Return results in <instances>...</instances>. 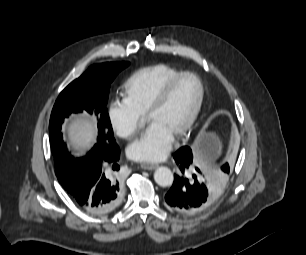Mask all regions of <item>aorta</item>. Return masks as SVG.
Returning a JSON list of instances; mask_svg holds the SVG:
<instances>
[{"instance_id": "762f6f07", "label": "aorta", "mask_w": 306, "mask_h": 255, "mask_svg": "<svg viewBox=\"0 0 306 255\" xmlns=\"http://www.w3.org/2000/svg\"><path fill=\"white\" fill-rule=\"evenodd\" d=\"M154 180L161 187H169L173 184L174 175L167 167H159L154 172Z\"/></svg>"}]
</instances>
